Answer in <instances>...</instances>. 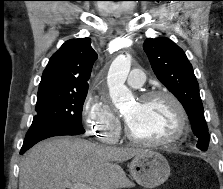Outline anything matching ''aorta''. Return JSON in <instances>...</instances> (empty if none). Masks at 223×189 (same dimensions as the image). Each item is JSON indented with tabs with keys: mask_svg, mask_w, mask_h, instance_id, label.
I'll return each mask as SVG.
<instances>
[{
	"mask_svg": "<svg viewBox=\"0 0 223 189\" xmlns=\"http://www.w3.org/2000/svg\"><path fill=\"white\" fill-rule=\"evenodd\" d=\"M131 68V56L119 55L112 62L107 84L112 103L117 109L127 108L133 101L131 91L125 86V81Z\"/></svg>",
	"mask_w": 223,
	"mask_h": 189,
	"instance_id": "aorta-1",
	"label": "aorta"
}]
</instances>
